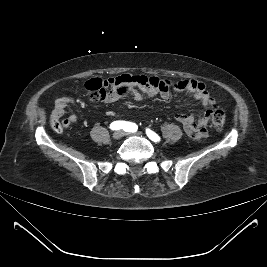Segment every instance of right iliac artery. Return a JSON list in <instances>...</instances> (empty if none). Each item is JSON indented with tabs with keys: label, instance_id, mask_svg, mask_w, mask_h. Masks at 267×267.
Returning a JSON list of instances; mask_svg holds the SVG:
<instances>
[{
	"label": "right iliac artery",
	"instance_id": "obj_1",
	"mask_svg": "<svg viewBox=\"0 0 267 267\" xmlns=\"http://www.w3.org/2000/svg\"><path fill=\"white\" fill-rule=\"evenodd\" d=\"M110 128L112 130L123 129L124 131H129V132H135L138 129L136 124L125 121H115L111 123Z\"/></svg>",
	"mask_w": 267,
	"mask_h": 267
}]
</instances>
